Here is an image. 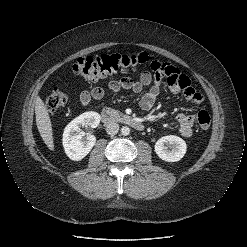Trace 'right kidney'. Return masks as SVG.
Listing matches in <instances>:
<instances>
[{"label": "right kidney", "mask_w": 247, "mask_h": 247, "mask_svg": "<svg viewBox=\"0 0 247 247\" xmlns=\"http://www.w3.org/2000/svg\"><path fill=\"white\" fill-rule=\"evenodd\" d=\"M100 115L97 112H85L73 119L64 129L63 147L66 155L74 161L82 160L92 150L96 143L94 135H87L81 131V127L90 126L96 128L100 123Z\"/></svg>", "instance_id": "ca27d5eb"}]
</instances>
